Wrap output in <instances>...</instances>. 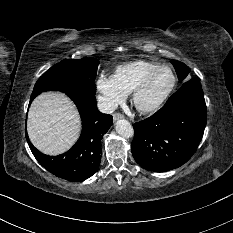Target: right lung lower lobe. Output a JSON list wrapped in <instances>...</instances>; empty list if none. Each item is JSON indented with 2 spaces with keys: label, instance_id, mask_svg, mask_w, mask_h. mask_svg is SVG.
Wrapping results in <instances>:
<instances>
[{
  "label": "right lung lower lobe",
  "instance_id": "98d812e1",
  "mask_svg": "<svg viewBox=\"0 0 233 233\" xmlns=\"http://www.w3.org/2000/svg\"><path fill=\"white\" fill-rule=\"evenodd\" d=\"M67 95L76 104L83 124L76 144L62 155L47 156L31 144L27 133L26 139L35 158L49 172L68 181L81 182L90 178L99 167L100 142L112 125V116L98 111L95 94L71 92Z\"/></svg>",
  "mask_w": 233,
  "mask_h": 233
}]
</instances>
